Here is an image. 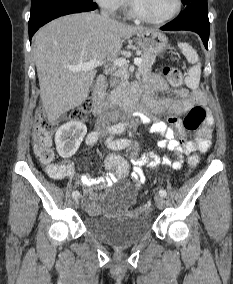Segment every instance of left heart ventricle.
<instances>
[{"instance_id": "b2bd125f", "label": "left heart ventricle", "mask_w": 233, "mask_h": 284, "mask_svg": "<svg viewBox=\"0 0 233 284\" xmlns=\"http://www.w3.org/2000/svg\"><path fill=\"white\" fill-rule=\"evenodd\" d=\"M138 10L150 18H162L169 14L175 0H134Z\"/></svg>"}]
</instances>
